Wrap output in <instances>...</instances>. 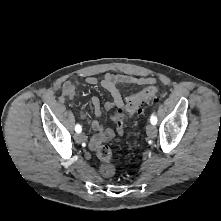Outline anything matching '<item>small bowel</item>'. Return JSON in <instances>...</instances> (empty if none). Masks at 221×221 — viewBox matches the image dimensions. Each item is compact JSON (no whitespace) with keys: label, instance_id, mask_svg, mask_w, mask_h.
Listing matches in <instances>:
<instances>
[{"label":"small bowel","instance_id":"obj_1","mask_svg":"<svg viewBox=\"0 0 221 221\" xmlns=\"http://www.w3.org/2000/svg\"><path fill=\"white\" fill-rule=\"evenodd\" d=\"M85 83L89 86H95L100 83V85L108 92L110 100L104 104V110L111 111L114 108L117 109V111L111 115V119L116 125L117 134L122 136L124 133V110L126 105L118 89V85H145L151 84L152 80L139 76L107 73L100 81H98V79L94 76H88L85 79ZM77 90V83L73 81H66L62 87L60 101L64 102L68 99H71ZM88 105L96 117H100L102 115V109L98 97L93 96L90 99ZM82 117H84V114H82ZM91 126L92 129L96 132L89 142V147L92 150H97L102 143L110 141L115 137V132L110 128L104 129L102 124L97 119L92 121Z\"/></svg>","mask_w":221,"mask_h":221}]
</instances>
